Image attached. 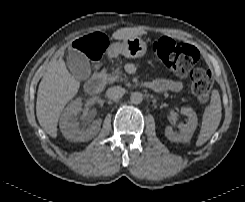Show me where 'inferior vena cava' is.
<instances>
[{
  "label": "inferior vena cava",
  "instance_id": "602c4592",
  "mask_svg": "<svg viewBox=\"0 0 245 202\" xmlns=\"http://www.w3.org/2000/svg\"><path fill=\"white\" fill-rule=\"evenodd\" d=\"M124 94H125V89L120 86L111 87L106 91L107 97L115 101L122 98Z\"/></svg>",
  "mask_w": 245,
  "mask_h": 202
}]
</instances>
